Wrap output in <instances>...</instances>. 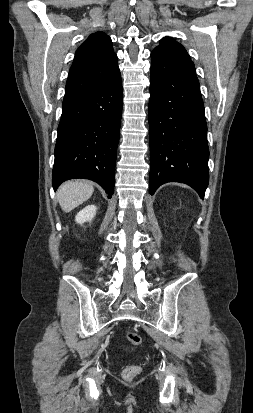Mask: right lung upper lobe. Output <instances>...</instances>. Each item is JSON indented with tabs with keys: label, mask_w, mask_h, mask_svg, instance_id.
<instances>
[{
	"label": "right lung upper lobe",
	"mask_w": 253,
	"mask_h": 413,
	"mask_svg": "<svg viewBox=\"0 0 253 413\" xmlns=\"http://www.w3.org/2000/svg\"><path fill=\"white\" fill-rule=\"evenodd\" d=\"M118 69L117 55L113 51L110 37L103 32L91 34L75 53L63 102L93 91Z\"/></svg>",
	"instance_id": "1"
}]
</instances>
